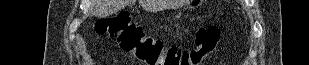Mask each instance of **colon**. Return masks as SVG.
I'll return each mask as SVG.
<instances>
[{"instance_id":"1","label":"colon","mask_w":309,"mask_h":65,"mask_svg":"<svg viewBox=\"0 0 309 65\" xmlns=\"http://www.w3.org/2000/svg\"><path fill=\"white\" fill-rule=\"evenodd\" d=\"M96 31L116 40L121 50L145 65H199L214 53L220 39L216 26H206L199 29L193 48L168 46L160 39L147 36L127 12L100 19Z\"/></svg>"}]
</instances>
